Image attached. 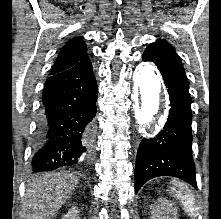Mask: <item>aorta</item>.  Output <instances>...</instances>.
<instances>
[{
    "instance_id": "obj_1",
    "label": "aorta",
    "mask_w": 221,
    "mask_h": 219,
    "mask_svg": "<svg viewBox=\"0 0 221 219\" xmlns=\"http://www.w3.org/2000/svg\"><path fill=\"white\" fill-rule=\"evenodd\" d=\"M134 117L141 132L154 122L164 103V92L155 67L140 63L134 71Z\"/></svg>"
}]
</instances>
